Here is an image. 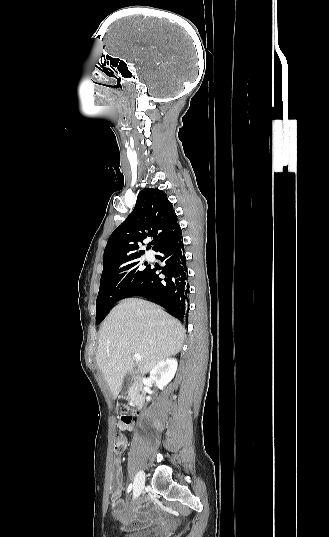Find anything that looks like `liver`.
I'll list each match as a JSON object with an SVG mask.
<instances>
[{
    "mask_svg": "<svg viewBox=\"0 0 329 537\" xmlns=\"http://www.w3.org/2000/svg\"><path fill=\"white\" fill-rule=\"evenodd\" d=\"M185 329L161 307L141 299H125L101 325L96 361L113 398L135 364L141 374L182 348ZM134 354L142 357L136 361Z\"/></svg>",
    "mask_w": 329,
    "mask_h": 537,
    "instance_id": "obj_1",
    "label": "liver"
}]
</instances>
